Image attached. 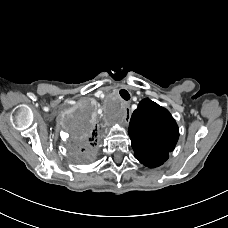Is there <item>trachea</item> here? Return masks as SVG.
<instances>
[{
	"label": "trachea",
	"mask_w": 228,
	"mask_h": 228,
	"mask_svg": "<svg viewBox=\"0 0 228 228\" xmlns=\"http://www.w3.org/2000/svg\"><path fill=\"white\" fill-rule=\"evenodd\" d=\"M119 93H120V96H121L124 100H129V99H130V95H129V93H128L126 90L121 89V90L119 91Z\"/></svg>",
	"instance_id": "trachea-1"
}]
</instances>
